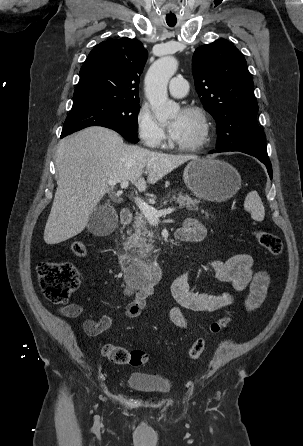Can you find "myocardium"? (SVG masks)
Listing matches in <instances>:
<instances>
[{
	"mask_svg": "<svg viewBox=\"0 0 303 446\" xmlns=\"http://www.w3.org/2000/svg\"><path fill=\"white\" fill-rule=\"evenodd\" d=\"M182 112L196 115L201 121L202 130H201L200 136L198 137V139L195 142H193L191 144H180V143L176 142L175 140H173L172 145L176 149H178L180 151H184V152L198 151L205 146V144L208 142V140L210 138L211 123L209 120V116L204 108L197 106V105L186 106L185 108H183Z\"/></svg>",
	"mask_w": 303,
	"mask_h": 446,
	"instance_id": "1",
	"label": "myocardium"
}]
</instances>
